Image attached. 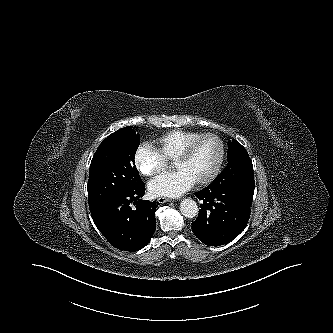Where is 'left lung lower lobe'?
<instances>
[{
	"label": "left lung lower lobe",
	"mask_w": 333,
	"mask_h": 333,
	"mask_svg": "<svg viewBox=\"0 0 333 333\" xmlns=\"http://www.w3.org/2000/svg\"><path fill=\"white\" fill-rule=\"evenodd\" d=\"M195 195L203 203L197 219L192 222V231L204 244H227L246 227L253 195L236 189L228 175L217 177Z\"/></svg>",
	"instance_id": "0a47b994"
}]
</instances>
